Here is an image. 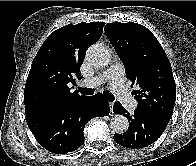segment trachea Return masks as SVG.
Segmentation results:
<instances>
[{
	"instance_id": "3493384b",
	"label": "trachea",
	"mask_w": 196,
	"mask_h": 166,
	"mask_svg": "<svg viewBox=\"0 0 196 166\" xmlns=\"http://www.w3.org/2000/svg\"><path fill=\"white\" fill-rule=\"evenodd\" d=\"M79 91L84 95H92L94 94V89L92 88H79ZM103 96L106 98V100L113 102L115 100V97L109 93L108 91L103 92Z\"/></svg>"
}]
</instances>
